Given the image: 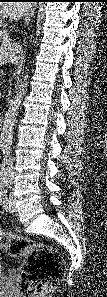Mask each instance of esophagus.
<instances>
[{
	"label": "esophagus",
	"mask_w": 107,
	"mask_h": 297,
	"mask_svg": "<svg viewBox=\"0 0 107 297\" xmlns=\"http://www.w3.org/2000/svg\"><path fill=\"white\" fill-rule=\"evenodd\" d=\"M35 10H36V4H33V5L31 6V9L29 10L27 16H26L25 19H24V24H25V25H28V24H29V22L31 21L32 17H33L34 14H35Z\"/></svg>",
	"instance_id": "34e87169"
}]
</instances>
